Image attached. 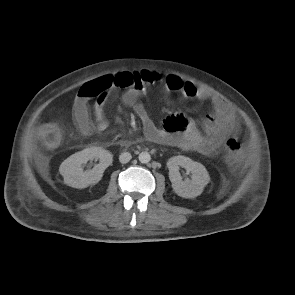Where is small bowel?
<instances>
[{
  "mask_svg": "<svg viewBox=\"0 0 295 295\" xmlns=\"http://www.w3.org/2000/svg\"><path fill=\"white\" fill-rule=\"evenodd\" d=\"M132 74L139 79L140 84L127 88L122 94V100L131 106L142 120L144 133L150 141L211 156L227 139L237 133L239 125L236 115L224 100L206 89L176 75L164 77L150 70ZM104 78L84 84L74 101V124L83 136H90L95 131L108 128L104 105L110 90L101 84ZM158 83H163L170 93L210 102L213 112L203 120L202 130L198 129L193 119L182 113L167 116L160 126L152 121L143 103V97L147 89Z\"/></svg>",
  "mask_w": 295,
  "mask_h": 295,
  "instance_id": "obj_1",
  "label": "small bowel"
}]
</instances>
